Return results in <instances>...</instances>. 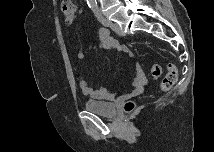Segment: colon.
Listing matches in <instances>:
<instances>
[{"label": "colon", "instance_id": "colon-1", "mask_svg": "<svg viewBox=\"0 0 215 152\" xmlns=\"http://www.w3.org/2000/svg\"><path fill=\"white\" fill-rule=\"evenodd\" d=\"M62 13L67 24H71L77 16V7L72 1H63L62 3ZM161 76V67L159 64H153L151 66V78L153 80L159 79ZM178 79L177 67L173 64L168 65V72L163 77L161 82V89L163 91L170 90ZM136 108L135 103L129 100L124 105V111L126 113H132Z\"/></svg>", "mask_w": 215, "mask_h": 152}]
</instances>
